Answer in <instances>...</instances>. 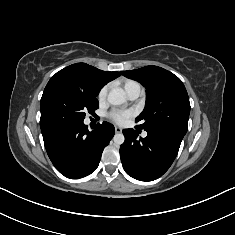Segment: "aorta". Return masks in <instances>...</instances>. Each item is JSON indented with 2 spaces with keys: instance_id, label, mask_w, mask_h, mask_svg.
<instances>
[{
  "instance_id": "1",
  "label": "aorta",
  "mask_w": 235,
  "mask_h": 235,
  "mask_svg": "<svg viewBox=\"0 0 235 235\" xmlns=\"http://www.w3.org/2000/svg\"><path fill=\"white\" fill-rule=\"evenodd\" d=\"M108 102L111 105L118 106L126 102L125 93L122 89H112L108 94ZM113 141L116 145H121L125 141V137L122 133H117L113 137Z\"/></svg>"
}]
</instances>
